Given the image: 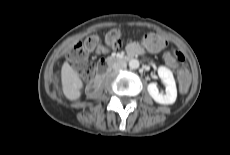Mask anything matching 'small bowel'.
I'll list each match as a JSON object with an SVG mask.
<instances>
[{
	"label": "small bowel",
	"instance_id": "c3829d8e",
	"mask_svg": "<svg viewBox=\"0 0 230 155\" xmlns=\"http://www.w3.org/2000/svg\"><path fill=\"white\" fill-rule=\"evenodd\" d=\"M160 48L161 46L155 45L152 42L148 41L147 39H145L143 46L137 42H132L127 47L128 51H133L136 54H141L144 52V50H147L151 53H156L160 50ZM166 62L171 67L175 66L173 58L169 55L166 56Z\"/></svg>",
	"mask_w": 230,
	"mask_h": 155
}]
</instances>
